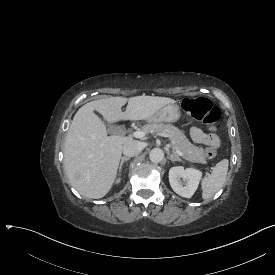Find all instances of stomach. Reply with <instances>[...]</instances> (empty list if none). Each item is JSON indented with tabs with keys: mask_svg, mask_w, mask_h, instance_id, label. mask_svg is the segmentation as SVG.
<instances>
[{
	"mask_svg": "<svg viewBox=\"0 0 275 275\" xmlns=\"http://www.w3.org/2000/svg\"><path fill=\"white\" fill-rule=\"evenodd\" d=\"M179 106L174 103L167 104L150 116L147 121L151 123L175 122L180 118Z\"/></svg>",
	"mask_w": 275,
	"mask_h": 275,
	"instance_id": "0dacf381",
	"label": "stomach"
}]
</instances>
